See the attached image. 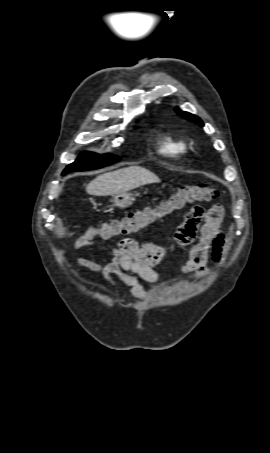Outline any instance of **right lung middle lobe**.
<instances>
[{
    "label": "right lung middle lobe",
    "instance_id": "right-lung-middle-lobe-1",
    "mask_svg": "<svg viewBox=\"0 0 270 453\" xmlns=\"http://www.w3.org/2000/svg\"><path fill=\"white\" fill-rule=\"evenodd\" d=\"M120 160V157L112 154L99 155L91 152H84L72 164L68 165L63 175L72 171H83L101 168Z\"/></svg>",
    "mask_w": 270,
    "mask_h": 453
}]
</instances>
